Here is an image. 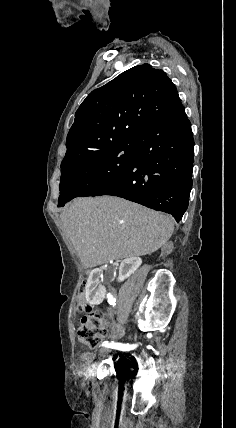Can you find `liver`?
<instances>
[{
  "label": "liver",
  "mask_w": 236,
  "mask_h": 428,
  "mask_svg": "<svg viewBox=\"0 0 236 428\" xmlns=\"http://www.w3.org/2000/svg\"><path fill=\"white\" fill-rule=\"evenodd\" d=\"M61 220L84 268L153 254L174 230L170 216L114 196L75 198Z\"/></svg>",
  "instance_id": "obj_1"
}]
</instances>
